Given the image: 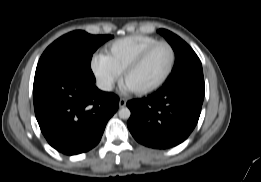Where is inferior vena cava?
Instances as JSON below:
<instances>
[{"label":"inferior vena cava","mask_w":261,"mask_h":182,"mask_svg":"<svg viewBox=\"0 0 261 182\" xmlns=\"http://www.w3.org/2000/svg\"><path fill=\"white\" fill-rule=\"evenodd\" d=\"M97 87L103 91H111L112 83L109 81L99 80L96 83Z\"/></svg>","instance_id":"obj_1"}]
</instances>
